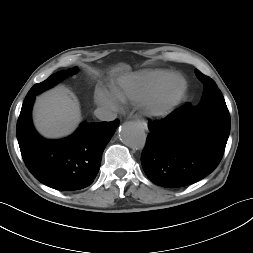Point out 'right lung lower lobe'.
<instances>
[{
    "label": "right lung lower lobe",
    "mask_w": 253,
    "mask_h": 253,
    "mask_svg": "<svg viewBox=\"0 0 253 253\" xmlns=\"http://www.w3.org/2000/svg\"><path fill=\"white\" fill-rule=\"evenodd\" d=\"M35 96L25 98L16 129L27 168L37 180L56 190L74 191L89 186L98 174L102 153L119 120L83 123L65 139L46 140L32 125Z\"/></svg>",
    "instance_id": "98d812e1"
}]
</instances>
